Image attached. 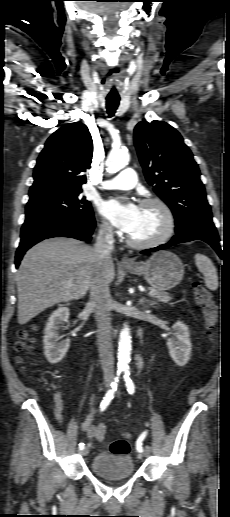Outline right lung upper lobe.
Instances as JSON below:
<instances>
[{
	"label": "right lung upper lobe",
	"instance_id": "right-lung-upper-lobe-1",
	"mask_svg": "<svg viewBox=\"0 0 230 517\" xmlns=\"http://www.w3.org/2000/svg\"><path fill=\"white\" fill-rule=\"evenodd\" d=\"M93 140L88 128L81 123L67 124L46 141L34 168V183L29 200L44 196L81 190L90 168Z\"/></svg>",
	"mask_w": 230,
	"mask_h": 517
}]
</instances>
